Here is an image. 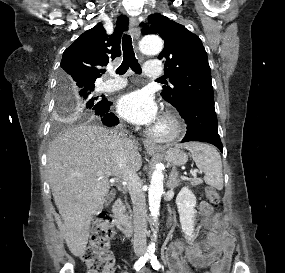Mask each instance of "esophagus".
<instances>
[{"instance_id": "esophagus-1", "label": "esophagus", "mask_w": 285, "mask_h": 273, "mask_svg": "<svg viewBox=\"0 0 285 273\" xmlns=\"http://www.w3.org/2000/svg\"><path fill=\"white\" fill-rule=\"evenodd\" d=\"M129 23H130V29H131L132 35H133L134 39L136 41H138L139 37H140L139 23H138L137 19L133 18V17L130 18ZM144 147L148 152H156L157 151V147L155 146V144L149 140H144Z\"/></svg>"}]
</instances>
